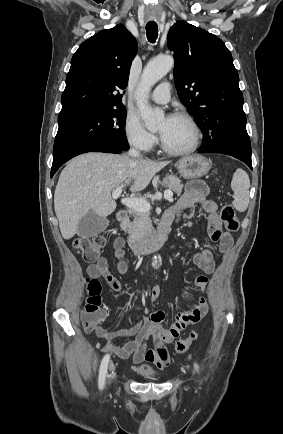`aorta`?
Instances as JSON below:
<instances>
[{"label": "aorta", "mask_w": 283, "mask_h": 434, "mask_svg": "<svg viewBox=\"0 0 283 434\" xmlns=\"http://www.w3.org/2000/svg\"><path fill=\"white\" fill-rule=\"evenodd\" d=\"M173 65V57H157L150 60L142 72L141 81L137 90L136 104L144 121L145 127L150 131L155 130L164 118L163 111L159 109H152L150 107L148 103L150 90L171 70ZM156 262L157 258L154 257L153 263Z\"/></svg>", "instance_id": "aorta-1"}]
</instances>
